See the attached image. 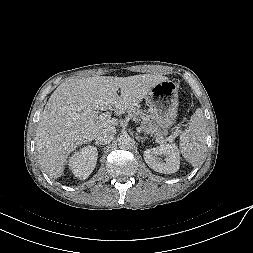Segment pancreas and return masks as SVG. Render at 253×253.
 Returning a JSON list of instances; mask_svg holds the SVG:
<instances>
[{"label":"pancreas","instance_id":"pancreas-1","mask_svg":"<svg viewBox=\"0 0 253 253\" xmlns=\"http://www.w3.org/2000/svg\"><path fill=\"white\" fill-rule=\"evenodd\" d=\"M128 115L137 122L142 120L141 128L147 134H150L156 138H162L163 135L168 133L167 130H161L155 124H153L152 120L150 119L151 117L141 110L134 108L128 111Z\"/></svg>","mask_w":253,"mask_h":253}]
</instances>
